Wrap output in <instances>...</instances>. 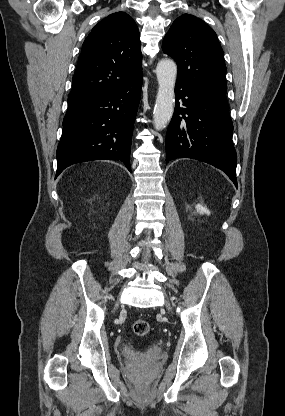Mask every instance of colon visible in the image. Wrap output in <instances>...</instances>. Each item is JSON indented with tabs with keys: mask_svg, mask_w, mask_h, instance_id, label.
Masks as SVG:
<instances>
[{
	"mask_svg": "<svg viewBox=\"0 0 285 416\" xmlns=\"http://www.w3.org/2000/svg\"><path fill=\"white\" fill-rule=\"evenodd\" d=\"M150 330L149 323L146 320L138 319L134 321L132 325V331L137 336H145ZM138 395L142 401H146L149 398L150 385L147 382H139L137 385Z\"/></svg>",
	"mask_w": 285,
	"mask_h": 416,
	"instance_id": "1",
	"label": "colon"
}]
</instances>
